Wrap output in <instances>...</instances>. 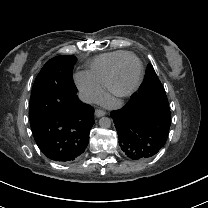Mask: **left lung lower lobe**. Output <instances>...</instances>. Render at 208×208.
I'll return each instance as SVG.
<instances>
[{
	"instance_id": "left-lung-lower-lobe-1",
	"label": "left lung lower lobe",
	"mask_w": 208,
	"mask_h": 208,
	"mask_svg": "<svg viewBox=\"0 0 208 208\" xmlns=\"http://www.w3.org/2000/svg\"><path fill=\"white\" fill-rule=\"evenodd\" d=\"M110 115L119 145L128 158L146 160L163 148L171 124L168 108L152 102L130 100Z\"/></svg>"
}]
</instances>
